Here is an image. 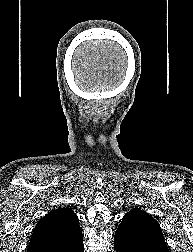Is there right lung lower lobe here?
<instances>
[{"instance_id": "obj_1", "label": "right lung lower lobe", "mask_w": 193, "mask_h": 252, "mask_svg": "<svg viewBox=\"0 0 193 252\" xmlns=\"http://www.w3.org/2000/svg\"><path fill=\"white\" fill-rule=\"evenodd\" d=\"M34 252H84L82 232L64 243L51 247L40 248Z\"/></svg>"}]
</instances>
